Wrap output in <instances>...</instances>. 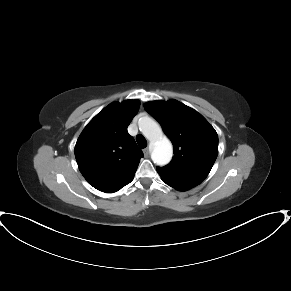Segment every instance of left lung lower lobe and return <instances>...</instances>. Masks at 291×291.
<instances>
[{
  "label": "left lung lower lobe",
  "mask_w": 291,
  "mask_h": 291,
  "mask_svg": "<svg viewBox=\"0 0 291 291\" xmlns=\"http://www.w3.org/2000/svg\"><path fill=\"white\" fill-rule=\"evenodd\" d=\"M166 184H168L169 186L179 190V191H186L188 189L193 188L195 185H186V184H179V183H174V182H170L167 180L162 179Z\"/></svg>",
  "instance_id": "left-lung-lower-lobe-1"
}]
</instances>
